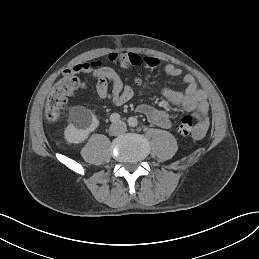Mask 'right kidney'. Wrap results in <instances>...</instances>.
Masks as SVG:
<instances>
[{
    "instance_id": "right-kidney-1",
    "label": "right kidney",
    "mask_w": 259,
    "mask_h": 259,
    "mask_svg": "<svg viewBox=\"0 0 259 259\" xmlns=\"http://www.w3.org/2000/svg\"><path fill=\"white\" fill-rule=\"evenodd\" d=\"M99 124L98 116L89 109L82 106L73 107L69 114V124L64 130V140L68 144L80 145Z\"/></svg>"
}]
</instances>
